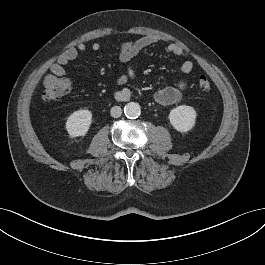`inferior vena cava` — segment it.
<instances>
[{
	"label": "inferior vena cava",
	"instance_id": "602c4592",
	"mask_svg": "<svg viewBox=\"0 0 265 265\" xmlns=\"http://www.w3.org/2000/svg\"><path fill=\"white\" fill-rule=\"evenodd\" d=\"M110 114L114 118H118L122 114V109L120 106H113L110 110Z\"/></svg>",
	"mask_w": 265,
	"mask_h": 265
}]
</instances>
